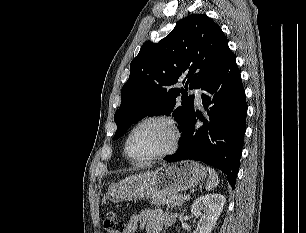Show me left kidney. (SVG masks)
I'll use <instances>...</instances> for the list:
<instances>
[{
  "mask_svg": "<svg viewBox=\"0 0 306 233\" xmlns=\"http://www.w3.org/2000/svg\"><path fill=\"white\" fill-rule=\"evenodd\" d=\"M225 202V197L217 193L199 197L191 208V213L196 217H200L197 228L193 233H211Z\"/></svg>",
  "mask_w": 306,
  "mask_h": 233,
  "instance_id": "1",
  "label": "left kidney"
}]
</instances>
